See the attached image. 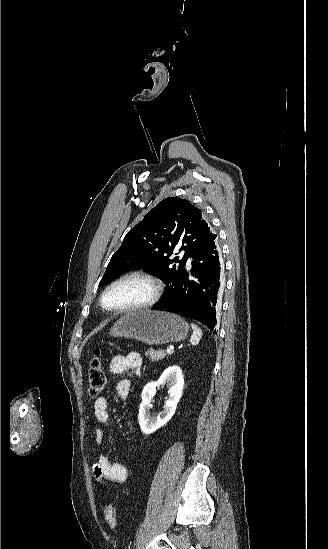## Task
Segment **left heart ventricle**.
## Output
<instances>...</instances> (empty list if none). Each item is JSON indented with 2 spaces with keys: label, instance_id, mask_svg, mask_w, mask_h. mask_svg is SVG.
Wrapping results in <instances>:
<instances>
[{
  "label": "left heart ventricle",
  "instance_id": "b2bd125f",
  "mask_svg": "<svg viewBox=\"0 0 328 549\" xmlns=\"http://www.w3.org/2000/svg\"><path fill=\"white\" fill-rule=\"evenodd\" d=\"M149 292L150 288L144 280L132 277L109 291L105 303L111 307H122L145 300Z\"/></svg>",
  "mask_w": 328,
  "mask_h": 549
}]
</instances>
